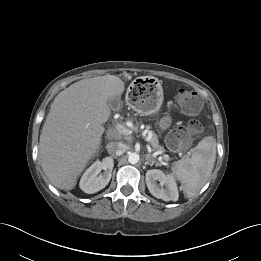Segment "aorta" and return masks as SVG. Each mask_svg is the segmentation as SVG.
Listing matches in <instances>:
<instances>
[{
	"label": "aorta",
	"mask_w": 261,
	"mask_h": 261,
	"mask_svg": "<svg viewBox=\"0 0 261 261\" xmlns=\"http://www.w3.org/2000/svg\"><path fill=\"white\" fill-rule=\"evenodd\" d=\"M139 161V154L137 153H131L128 156V162L131 164H136Z\"/></svg>",
	"instance_id": "1"
}]
</instances>
